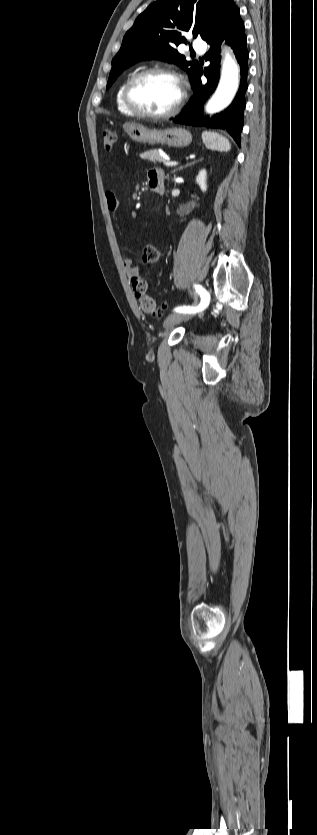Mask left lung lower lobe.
Here are the masks:
<instances>
[{"label": "left lung lower lobe", "instance_id": "0a47b994", "mask_svg": "<svg viewBox=\"0 0 317 835\" xmlns=\"http://www.w3.org/2000/svg\"><path fill=\"white\" fill-rule=\"evenodd\" d=\"M224 14L226 16L225 23L206 41L211 46L206 54V60L210 61V65L205 68L204 72L200 66L196 70L191 78L194 95L188 102L186 108L173 119V122L227 130L240 146V134L243 128V112L245 108V92L248 88L246 78L249 52L246 47L244 23L240 17L239 9L233 0L228 1ZM224 39L233 48L240 65V87L234 101L224 112L212 117L203 116V105L213 93L218 83L220 75V45ZM202 74L208 79L206 84H202L201 82Z\"/></svg>", "mask_w": 317, "mask_h": 835}]
</instances>
